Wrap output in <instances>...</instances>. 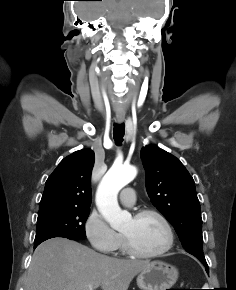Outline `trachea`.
<instances>
[{"label": "trachea", "instance_id": "obj_1", "mask_svg": "<svg viewBox=\"0 0 236 290\" xmlns=\"http://www.w3.org/2000/svg\"><path fill=\"white\" fill-rule=\"evenodd\" d=\"M124 133H125V125L124 124H114L113 136H114L115 143L117 145H121V143L123 141Z\"/></svg>", "mask_w": 236, "mask_h": 290}]
</instances>
